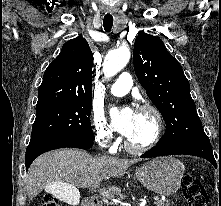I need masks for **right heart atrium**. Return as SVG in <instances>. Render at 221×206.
<instances>
[{
    "mask_svg": "<svg viewBox=\"0 0 221 206\" xmlns=\"http://www.w3.org/2000/svg\"><path fill=\"white\" fill-rule=\"evenodd\" d=\"M92 126L99 145L108 151H113L116 148L117 139L101 112L95 111L93 113Z\"/></svg>",
    "mask_w": 221,
    "mask_h": 206,
    "instance_id": "right-heart-atrium-1",
    "label": "right heart atrium"
}]
</instances>
